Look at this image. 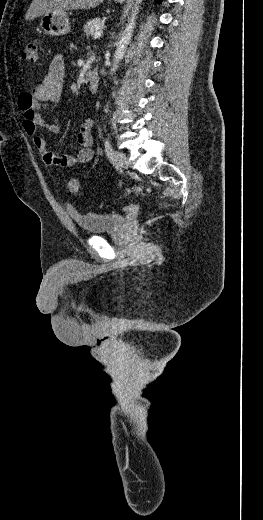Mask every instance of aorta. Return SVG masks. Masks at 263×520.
<instances>
[{
	"label": "aorta",
	"instance_id": "1",
	"mask_svg": "<svg viewBox=\"0 0 263 520\" xmlns=\"http://www.w3.org/2000/svg\"><path fill=\"white\" fill-rule=\"evenodd\" d=\"M141 1L142 0H136V5H135V8L132 10V15H131V18H130V22L126 26L125 31L123 32L120 40L118 41L117 48H116L115 53H114L113 66L110 69V74L111 75H113L116 72V70L118 68V65H119V62L123 58V56L125 54V51L127 49V46L130 43V40L132 38L133 28H134V25H135V18H136L137 12L139 10L137 5H139Z\"/></svg>",
	"mask_w": 263,
	"mask_h": 520
}]
</instances>
